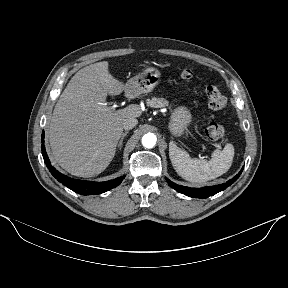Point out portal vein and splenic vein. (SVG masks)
Returning <instances> with one entry per match:
<instances>
[{"label": "portal vein and splenic vein", "mask_w": 288, "mask_h": 288, "mask_svg": "<svg viewBox=\"0 0 288 288\" xmlns=\"http://www.w3.org/2000/svg\"><path fill=\"white\" fill-rule=\"evenodd\" d=\"M102 108H103V110L104 111H107V112H112V111H114V107H107V106H102Z\"/></svg>", "instance_id": "18ae733b"}]
</instances>
